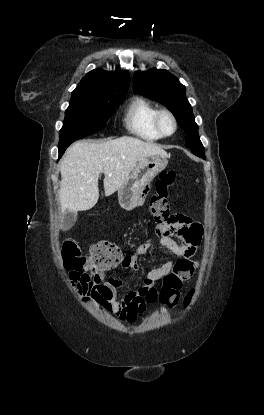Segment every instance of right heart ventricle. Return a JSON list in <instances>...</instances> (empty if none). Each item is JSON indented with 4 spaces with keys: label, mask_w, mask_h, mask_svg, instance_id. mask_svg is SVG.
<instances>
[{
    "label": "right heart ventricle",
    "mask_w": 264,
    "mask_h": 415,
    "mask_svg": "<svg viewBox=\"0 0 264 415\" xmlns=\"http://www.w3.org/2000/svg\"><path fill=\"white\" fill-rule=\"evenodd\" d=\"M157 110L158 108L150 101L142 97H135L125 109L124 125L126 129L141 140H159L161 136L153 124Z\"/></svg>",
    "instance_id": "1"
}]
</instances>
